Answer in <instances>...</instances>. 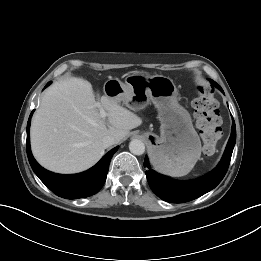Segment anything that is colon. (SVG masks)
<instances>
[{
  "instance_id": "1",
  "label": "colon",
  "mask_w": 261,
  "mask_h": 261,
  "mask_svg": "<svg viewBox=\"0 0 261 261\" xmlns=\"http://www.w3.org/2000/svg\"><path fill=\"white\" fill-rule=\"evenodd\" d=\"M196 124L204 142V152L213 154L221 136V117L212 90L199 86L192 102Z\"/></svg>"
}]
</instances>
